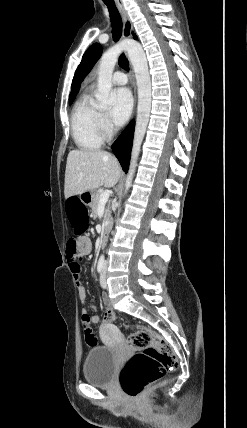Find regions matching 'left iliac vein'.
Returning <instances> with one entry per match:
<instances>
[{"mask_svg":"<svg viewBox=\"0 0 247 428\" xmlns=\"http://www.w3.org/2000/svg\"><path fill=\"white\" fill-rule=\"evenodd\" d=\"M106 270H107V263H105L102 274L100 276V285L102 288H107V281H106Z\"/></svg>","mask_w":247,"mask_h":428,"instance_id":"left-iliac-vein-1","label":"left iliac vein"}]
</instances>
